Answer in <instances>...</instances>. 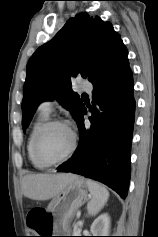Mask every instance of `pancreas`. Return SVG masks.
Wrapping results in <instances>:
<instances>
[{
    "instance_id": "1",
    "label": "pancreas",
    "mask_w": 158,
    "mask_h": 237,
    "mask_svg": "<svg viewBox=\"0 0 158 237\" xmlns=\"http://www.w3.org/2000/svg\"><path fill=\"white\" fill-rule=\"evenodd\" d=\"M63 226H67L66 221L63 222ZM78 233H80L79 230H73V234L72 235H78Z\"/></svg>"
}]
</instances>
